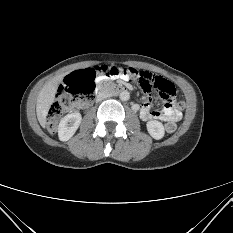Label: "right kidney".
Masks as SVG:
<instances>
[{"mask_svg":"<svg viewBox=\"0 0 233 233\" xmlns=\"http://www.w3.org/2000/svg\"><path fill=\"white\" fill-rule=\"evenodd\" d=\"M82 120L80 113L75 112L66 115L59 123L58 136L61 141L69 140L78 129Z\"/></svg>","mask_w":233,"mask_h":233,"instance_id":"obj_1","label":"right kidney"}]
</instances>
